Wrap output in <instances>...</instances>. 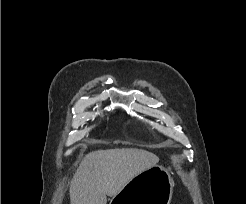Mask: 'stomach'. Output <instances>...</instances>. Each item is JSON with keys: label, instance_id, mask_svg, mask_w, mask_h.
Listing matches in <instances>:
<instances>
[{"label": "stomach", "instance_id": "obj_1", "mask_svg": "<svg viewBox=\"0 0 246 204\" xmlns=\"http://www.w3.org/2000/svg\"><path fill=\"white\" fill-rule=\"evenodd\" d=\"M173 186L168 170L155 165L132 178L110 204H170Z\"/></svg>", "mask_w": 246, "mask_h": 204}]
</instances>
